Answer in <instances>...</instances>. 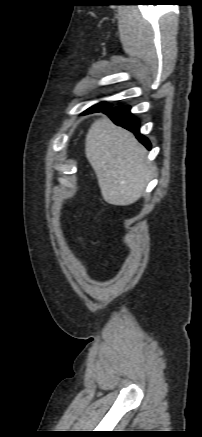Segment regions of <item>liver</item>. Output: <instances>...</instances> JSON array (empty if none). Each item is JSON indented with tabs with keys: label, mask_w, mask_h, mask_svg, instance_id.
Returning a JSON list of instances; mask_svg holds the SVG:
<instances>
[{
	"label": "liver",
	"mask_w": 202,
	"mask_h": 437,
	"mask_svg": "<svg viewBox=\"0 0 202 437\" xmlns=\"http://www.w3.org/2000/svg\"><path fill=\"white\" fill-rule=\"evenodd\" d=\"M85 154L107 203L127 206L141 197L152 166L147 161V150L131 132L103 116L88 130Z\"/></svg>",
	"instance_id": "6515ba94"
}]
</instances>
